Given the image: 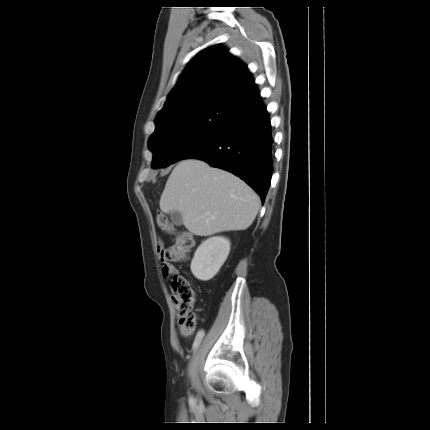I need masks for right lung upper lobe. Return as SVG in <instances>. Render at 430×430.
I'll list each match as a JSON object with an SVG mask.
<instances>
[{"label": "right lung upper lobe", "mask_w": 430, "mask_h": 430, "mask_svg": "<svg viewBox=\"0 0 430 430\" xmlns=\"http://www.w3.org/2000/svg\"><path fill=\"white\" fill-rule=\"evenodd\" d=\"M259 98L247 66L217 44L191 59L156 116V121L206 100H224L237 114Z\"/></svg>", "instance_id": "1"}]
</instances>
